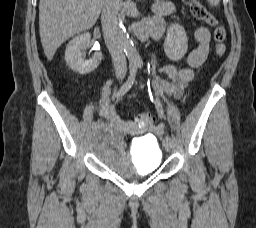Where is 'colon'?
<instances>
[{"mask_svg":"<svg viewBox=\"0 0 256 228\" xmlns=\"http://www.w3.org/2000/svg\"><path fill=\"white\" fill-rule=\"evenodd\" d=\"M191 10L192 15L214 29L215 53L221 57L226 52L224 41L226 39V30L219 20L207 10V8L198 0H183ZM137 122L142 127H149L154 123V117L149 113H141L137 116Z\"/></svg>","mask_w":256,"mask_h":228,"instance_id":"5ec220e1","label":"colon"}]
</instances>
